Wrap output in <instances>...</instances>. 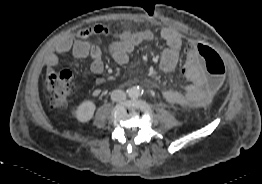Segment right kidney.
<instances>
[{"label":"right kidney","instance_id":"1","mask_svg":"<svg viewBox=\"0 0 262 184\" xmlns=\"http://www.w3.org/2000/svg\"><path fill=\"white\" fill-rule=\"evenodd\" d=\"M95 104L92 101H84L82 102L76 111L77 119L80 122H87L89 121L94 114L95 111Z\"/></svg>","mask_w":262,"mask_h":184}]
</instances>
